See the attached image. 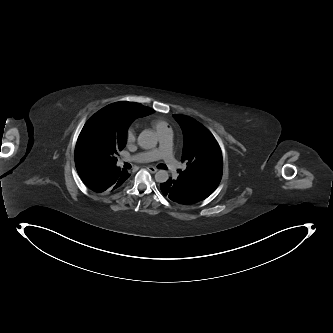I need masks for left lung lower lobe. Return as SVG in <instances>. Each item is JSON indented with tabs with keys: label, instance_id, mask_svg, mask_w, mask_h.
Instances as JSON below:
<instances>
[{
	"label": "left lung lower lobe",
	"instance_id": "0a47b994",
	"mask_svg": "<svg viewBox=\"0 0 333 333\" xmlns=\"http://www.w3.org/2000/svg\"><path fill=\"white\" fill-rule=\"evenodd\" d=\"M161 193L178 204L190 205L202 201L189 189L182 186L175 179L169 178L160 184Z\"/></svg>",
	"mask_w": 333,
	"mask_h": 333
}]
</instances>
